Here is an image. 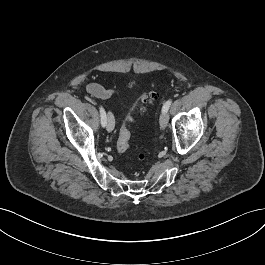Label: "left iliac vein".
Returning <instances> with one entry per match:
<instances>
[{"label": "left iliac vein", "instance_id": "obj_1", "mask_svg": "<svg viewBox=\"0 0 265 265\" xmlns=\"http://www.w3.org/2000/svg\"><path fill=\"white\" fill-rule=\"evenodd\" d=\"M159 123H160L161 129H165L167 127V124H168V115H167L166 112H163L162 111V113L160 115Z\"/></svg>", "mask_w": 265, "mask_h": 265}]
</instances>
